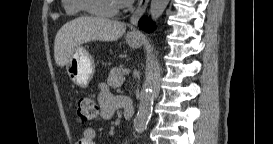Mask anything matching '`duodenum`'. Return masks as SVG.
Instances as JSON below:
<instances>
[{
    "mask_svg": "<svg viewBox=\"0 0 273 144\" xmlns=\"http://www.w3.org/2000/svg\"><path fill=\"white\" fill-rule=\"evenodd\" d=\"M121 103L124 111V118L131 120L134 117V104L131 99L127 97H121Z\"/></svg>",
    "mask_w": 273,
    "mask_h": 144,
    "instance_id": "duodenum-1",
    "label": "duodenum"
}]
</instances>
